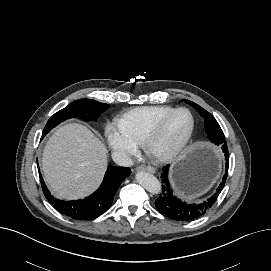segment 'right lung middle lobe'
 Listing matches in <instances>:
<instances>
[{
    "mask_svg": "<svg viewBox=\"0 0 271 271\" xmlns=\"http://www.w3.org/2000/svg\"><path fill=\"white\" fill-rule=\"evenodd\" d=\"M108 108V104L100 103L91 99H79L67 107L55 113L47 122L43 136L59 123L73 117H79L84 121H95L96 118Z\"/></svg>",
    "mask_w": 271,
    "mask_h": 271,
    "instance_id": "dd1d6c3e",
    "label": "right lung middle lobe"
}]
</instances>
